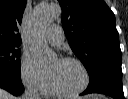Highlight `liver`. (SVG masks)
<instances>
[{
    "instance_id": "1",
    "label": "liver",
    "mask_w": 128,
    "mask_h": 99,
    "mask_svg": "<svg viewBox=\"0 0 128 99\" xmlns=\"http://www.w3.org/2000/svg\"><path fill=\"white\" fill-rule=\"evenodd\" d=\"M92 98V99H98L97 96H89V98ZM99 98H102V97H99ZM0 99H15L11 94H9L7 91L3 90V89H0Z\"/></svg>"
}]
</instances>
